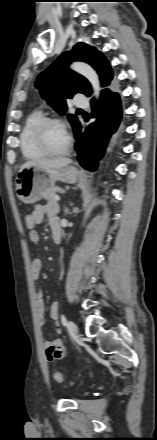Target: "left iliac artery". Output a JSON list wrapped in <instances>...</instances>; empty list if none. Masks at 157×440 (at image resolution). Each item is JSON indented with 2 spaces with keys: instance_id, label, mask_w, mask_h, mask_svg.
Segmentation results:
<instances>
[{
  "instance_id": "1",
  "label": "left iliac artery",
  "mask_w": 157,
  "mask_h": 440,
  "mask_svg": "<svg viewBox=\"0 0 157 440\" xmlns=\"http://www.w3.org/2000/svg\"><path fill=\"white\" fill-rule=\"evenodd\" d=\"M61 322H62V325L65 327L69 324V322L64 314L61 315Z\"/></svg>"
}]
</instances>
